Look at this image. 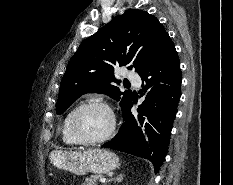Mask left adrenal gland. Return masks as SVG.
Here are the masks:
<instances>
[{"instance_id": "a2214340", "label": "left adrenal gland", "mask_w": 233, "mask_h": 185, "mask_svg": "<svg viewBox=\"0 0 233 185\" xmlns=\"http://www.w3.org/2000/svg\"><path fill=\"white\" fill-rule=\"evenodd\" d=\"M122 179H123V175L120 174V175H118L116 178H111V179H109L108 181L121 182Z\"/></svg>"}]
</instances>
